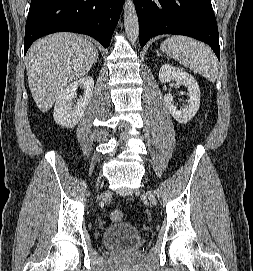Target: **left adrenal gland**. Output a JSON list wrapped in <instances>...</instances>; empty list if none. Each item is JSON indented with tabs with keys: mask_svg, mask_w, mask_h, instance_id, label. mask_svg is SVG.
I'll use <instances>...</instances> for the list:
<instances>
[{
	"mask_svg": "<svg viewBox=\"0 0 253 271\" xmlns=\"http://www.w3.org/2000/svg\"><path fill=\"white\" fill-rule=\"evenodd\" d=\"M157 55H158V56H161V53H159V51H157Z\"/></svg>",
	"mask_w": 253,
	"mask_h": 271,
	"instance_id": "left-adrenal-gland-1",
	"label": "left adrenal gland"
}]
</instances>
